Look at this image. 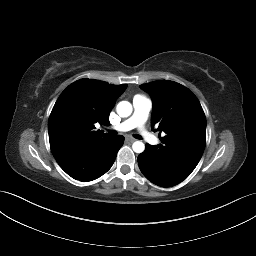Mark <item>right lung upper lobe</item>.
I'll return each mask as SVG.
<instances>
[{
  "label": "right lung upper lobe",
  "mask_w": 256,
  "mask_h": 256,
  "mask_svg": "<svg viewBox=\"0 0 256 256\" xmlns=\"http://www.w3.org/2000/svg\"><path fill=\"white\" fill-rule=\"evenodd\" d=\"M126 84L80 79L69 85L56 101L48 121L51 151L54 157L69 150L109 137L94 124H109V114Z\"/></svg>",
  "instance_id": "cb5924a9"
}]
</instances>
